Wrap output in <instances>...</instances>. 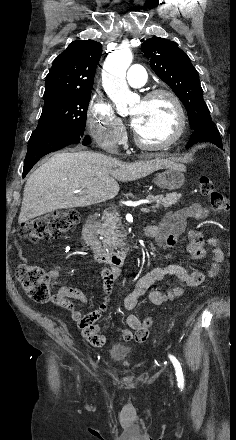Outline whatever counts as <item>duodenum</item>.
Returning <instances> with one entry per match:
<instances>
[{"label": "duodenum", "mask_w": 236, "mask_h": 440, "mask_svg": "<svg viewBox=\"0 0 236 440\" xmlns=\"http://www.w3.org/2000/svg\"><path fill=\"white\" fill-rule=\"evenodd\" d=\"M151 226L142 228L141 235H150ZM82 236L86 245L90 248L95 261L104 266L119 268L126 261L128 254L133 249V241L127 242L120 249L112 252L106 251L97 237L95 217L89 216L82 227Z\"/></svg>", "instance_id": "410a0bca"}]
</instances>
